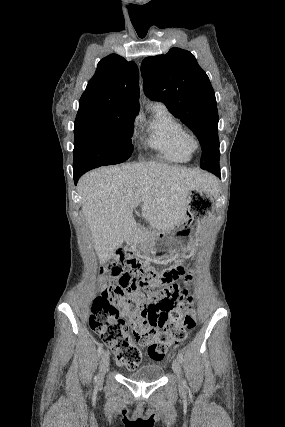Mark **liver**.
I'll list each match as a JSON object with an SVG mask.
<instances>
[{
    "instance_id": "6515ba94",
    "label": "liver",
    "mask_w": 285,
    "mask_h": 427,
    "mask_svg": "<svg viewBox=\"0 0 285 427\" xmlns=\"http://www.w3.org/2000/svg\"><path fill=\"white\" fill-rule=\"evenodd\" d=\"M195 188L214 194L217 182L206 172L158 162L102 167L82 176V212L100 261L109 260L131 236L138 204L153 228L167 232L183 220L188 193Z\"/></svg>"
}]
</instances>
